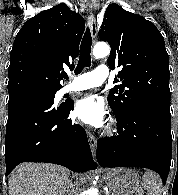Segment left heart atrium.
I'll return each mask as SVG.
<instances>
[{
  "mask_svg": "<svg viewBox=\"0 0 178 195\" xmlns=\"http://www.w3.org/2000/svg\"><path fill=\"white\" fill-rule=\"evenodd\" d=\"M74 113L82 123L92 127H100L106 119L102 101L92 95H86L77 100Z\"/></svg>",
  "mask_w": 178,
  "mask_h": 195,
  "instance_id": "left-heart-atrium-1",
  "label": "left heart atrium"
}]
</instances>
